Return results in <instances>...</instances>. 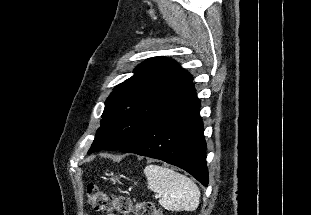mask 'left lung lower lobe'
<instances>
[{"instance_id": "1", "label": "left lung lower lobe", "mask_w": 311, "mask_h": 215, "mask_svg": "<svg viewBox=\"0 0 311 215\" xmlns=\"http://www.w3.org/2000/svg\"><path fill=\"white\" fill-rule=\"evenodd\" d=\"M199 111L200 101L192 82L161 108L120 151L178 166L207 186L206 143Z\"/></svg>"}]
</instances>
